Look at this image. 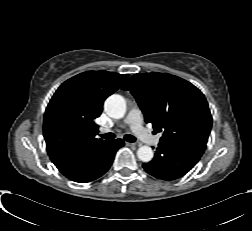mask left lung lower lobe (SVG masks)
<instances>
[{
    "instance_id": "left-lung-lower-lobe-1",
    "label": "left lung lower lobe",
    "mask_w": 252,
    "mask_h": 231,
    "mask_svg": "<svg viewBox=\"0 0 252 231\" xmlns=\"http://www.w3.org/2000/svg\"><path fill=\"white\" fill-rule=\"evenodd\" d=\"M206 149V144L194 139L172 142L161 141L155 157L143 167L150 175L173 180L184 176L199 161Z\"/></svg>"
}]
</instances>
